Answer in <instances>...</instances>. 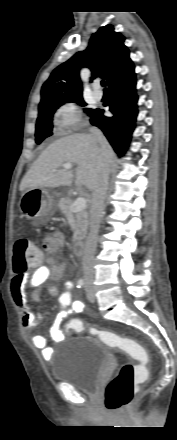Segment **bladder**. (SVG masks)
<instances>
[{"label":"bladder","instance_id":"obj_1","mask_svg":"<svg viewBox=\"0 0 177 440\" xmlns=\"http://www.w3.org/2000/svg\"><path fill=\"white\" fill-rule=\"evenodd\" d=\"M74 341L76 344L69 347L66 340L56 353L50 366L51 377L93 395L108 362L109 351L94 337H78Z\"/></svg>","mask_w":177,"mask_h":440}]
</instances>
